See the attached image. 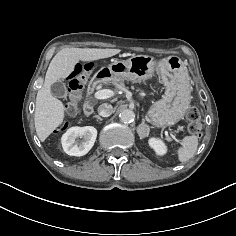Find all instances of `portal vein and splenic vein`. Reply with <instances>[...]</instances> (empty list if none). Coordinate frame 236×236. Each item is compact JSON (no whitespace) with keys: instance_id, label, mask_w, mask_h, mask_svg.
<instances>
[{"instance_id":"1","label":"portal vein and splenic vein","mask_w":236,"mask_h":236,"mask_svg":"<svg viewBox=\"0 0 236 236\" xmlns=\"http://www.w3.org/2000/svg\"><path fill=\"white\" fill-rule=\"evenodd\" d=\"M112 95H113V92L111 90L103 89V90H99V91L95 92L94 98H96L98 100H102V99L110 98ZM166 137H169L167 132H166Z\"/></svg>"}]
</instances>
